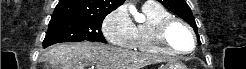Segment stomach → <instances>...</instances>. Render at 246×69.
<instances>
[{
  "label": "stomach",
  "instance_id": "obj_1",
  "mask_svg": "<svg viewBox=\"0 0 246 69\" xmlns=\"http://www.w3.org/2000/svg\"><path fill=\"white\" fill-rule=\"evenodd\" d=\"M160 69H187V68L178 62H169L163 65Z\"/></svg>",
  "mask_w": 246,
  "mask_h": 69
}]
</instances>
